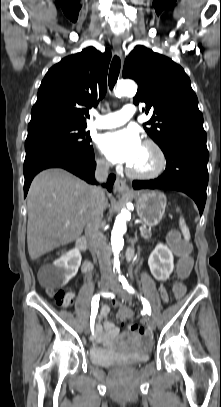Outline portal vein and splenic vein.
I'll list each match as a JSON object with an SVG mask.
<instances>
[{
    "mask_svg": "<svg viewBox=\"0 0 221 407\" xmlns=\"http://www.w3.org/2000/svg\"><path fill=\"white\" fill-rule=\"evenodd\" d=\"M68 224H69V222H66L65 225L67 226ZM139 229H140V231H143V230H145V227H144V226H141Z\"/></svg>",
    "mask_w": 221,
    "mask_h": 407,
    "instance_id": "obj_1",
    "label": "portal vein and splenic vein"
}]
</instances>
